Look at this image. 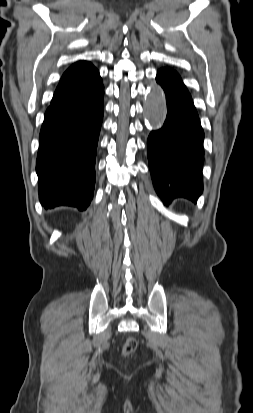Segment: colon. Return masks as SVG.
Returning <instances> with one entry per match:
<instances>
[{"label": "colon", "mask_w": 253, "mask_h": 413, "mask_svg": "<svg viewBox=\"0 0 253 413\" xmlns=\"http://www.w3.org/2000/svg\"><path fill=\"white\" fill-rule=\"evenodd\" d=\"M136 348H137V341L134 338L130 337L124 343L122 352L124 355H129L132 352H134Z\"/></svg>", "instance_id": "5ec220e1"}]
</instances>
